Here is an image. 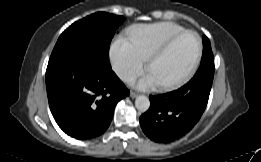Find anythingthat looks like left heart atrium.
I'll return each instance as SVG.
<instances>
[{
	"mask_svg": "<svg viewBox=\"0 0 261 162\" xmlns=\"http://www.w3.org/2000/svg\"><path fill=\"white\" fill-rule=\"evenodd\" d=\"M157 84H159L158 81L148 73L136 83V86L140 89H148Z\"/></svg>",
	"mask_w": 261,
	"mask_h": 162,
	"instance_id": "obj_1",
	"label": "left heart atrium"
}]
</instances>
